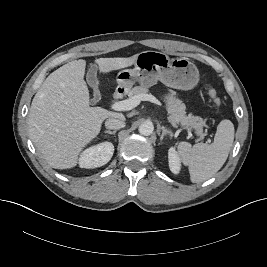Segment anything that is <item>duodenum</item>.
<instances>
[{"label": "duodenum", "mask_w": 267, "mask_h": 267, "mask_svg": "<svg viewBox=\"0 0 267 267\" xmlns=\"http://www.w3.org/2000/svg\"><path fill=\"white\" fill-rule=\"evenodd\" d=\"M123 94V91L121 89L117 90L114 94L115 98H120Z\"/></svg>", "instance_id": "1"}]
</instances>
